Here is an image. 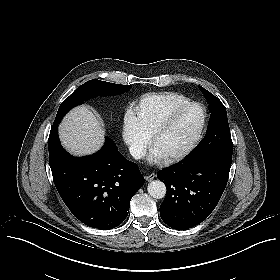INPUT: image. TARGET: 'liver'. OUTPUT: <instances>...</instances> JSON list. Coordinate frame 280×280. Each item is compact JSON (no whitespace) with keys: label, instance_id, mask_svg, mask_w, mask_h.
<instances>
[{"label":"liver","instance_id":"6515ba94","mask_svg":"<svg viewBox=\"0 0 280 280\" xmlns=\"http://www.w3.org/2000/svg\"><path fill=\"white\" fill-rule=\"evenodd\" d=\"M104 125L88 106L69 111L59 125V137L64 148L74 156L97 152L104 143Z\"/></svg>","mask_w":280,"mask_h":280}]
</instances>
